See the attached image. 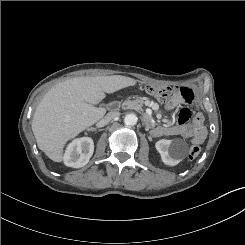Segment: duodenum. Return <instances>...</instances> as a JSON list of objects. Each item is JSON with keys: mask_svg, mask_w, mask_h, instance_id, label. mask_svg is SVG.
Instances as JSON below:
<instances>
[{"mask_svg": "<svg viewBox=\"0 0 245 245\" xmlns=\"http://www.w3.org/2000/svg\"><path fill=\"white\" fill-rule=\"evenodd\" d=\"M119 104L118 102H111L109 105H108V109L113 111V110H116L118 108ZM144 122L147 126L149 125H152L154 122H153V119L150 117V116H145L144 117Z\"/></svg>", "mask_w": 245, "mask_h": 245, "instance_id": "obj_1", "label": "duodenum"}]
</instances>
